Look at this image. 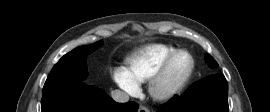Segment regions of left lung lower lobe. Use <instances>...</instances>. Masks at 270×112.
Wrapping results in <instances>:
<instances>
[{
	"mask_svg": "<svg viewBox=\"0 0 270 112\" xmlns=\"http://www.w3.org/2000/svg\"><path fill=\"white\" fill-rule=\"evenodd\" d=\"M158 112H228V84L222 74L194 83L181 96H174Z\"/></svg>",
	"mask_w": 270,
	"mask_h": 112,
	"instance_id": "0a47b994",
	"label": "left lung lower lobe"
}]
</instances>
